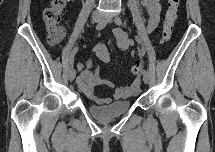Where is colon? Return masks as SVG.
Segmentation results:
<instances>
[{
	"label": "colon",
	"instance_id": "obj_1",
	"mask_svg": "<svg viewBox=\"0 0 215 152\" xmlns=\"http://www.w3.org/2000/svg\"><path fill=\"white\" fill-rule=\"evenodd\" d=\"M65 0H51L43 9L42 17L46 25L48 36L47 42L50 45H57L63 38V28L59 25L61 13L65 6ZM180 0H168L165 11V19L162 31V41L170 39L174 24L178 18V8ZM134 75H140L143 71V63L136 62L131 69Z\"/></svg>",
	"mask_w": 215,
	"mask_h": 152
}]
</instances>
